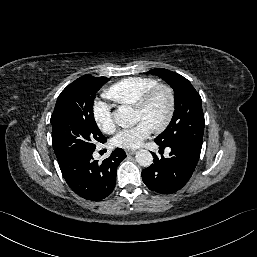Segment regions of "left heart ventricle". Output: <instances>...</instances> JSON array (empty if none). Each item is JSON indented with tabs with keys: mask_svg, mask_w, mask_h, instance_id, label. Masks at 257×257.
<instances>
[{
	"mask_svg": "<svg viewBox=\"0 0 257 257\" xmlns=\"http://www.w3.org/2000/svg\"><path fill=\"white\" fill-rule=\"evenodd\" d=\"M168 99L165 93H159L144 111L135 110L136 121H144L151 128L161 124L167 114Z\"/></svg>",
	"mask_w": 257,
	"mask_h": 257,
	"instance_id": "b2bd125f",
	"label": "left heart ventricle"
}]
</instances>
